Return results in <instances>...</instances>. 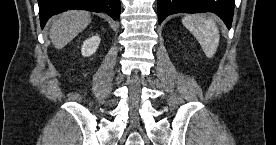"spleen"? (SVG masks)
I'll use <instances>...</instances> for the list:
<instances>
[{
	"label": "spleen",
	"instance_id": "spleen-1",
	"mask_svg": "<svg viewBox=\"0 0 276 145\" xmlns=\"http://www.w3.org/2000/svg\"><path fill=\"white\" fill-rule=\"evenodd\" d=\"M183 25L196 37L205 55L212 58L219 46V30L212 19L202 15H187L182 19Z\"/></svg>",
	"mask_w": 276,
	"mask_h": 145
}]
</instances>
